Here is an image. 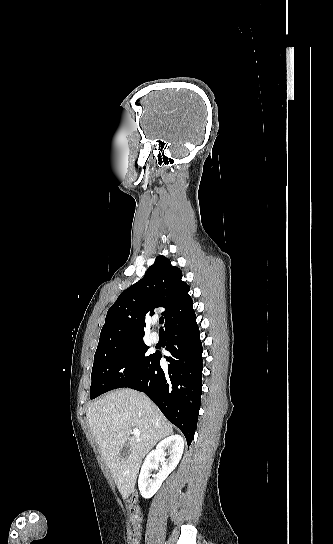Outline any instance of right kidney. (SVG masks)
<instances>
[{"instance_id": "ca27d5eb", "label": "right kidney", "mask_w": 333, "mask_h": 544, "mask_svg": "<svg viewBox=\"0 0 333 544\" xmlns=\"http://www.w3.org/2000/svg\"><path fill=\"white\" fill-rule=\"evenodd\" d=\"M169 452V458L165 459L166 452ZM184 450V440L180 435H171L162 440L155 450L151 451L141 468L138 479V487L142 497L151 498L160 488L163 481L178 465ZM161 462V470L153 475V480L150 479V474L157 467V463Z\"/></svg>"}]
</instances>
